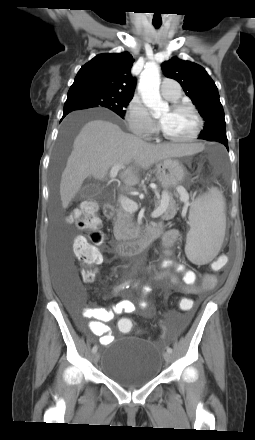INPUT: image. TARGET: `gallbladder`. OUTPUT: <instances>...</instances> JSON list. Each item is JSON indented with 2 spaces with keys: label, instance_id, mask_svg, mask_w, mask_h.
Here are the masks:
<instances>
[{
  "label": "gallbladder",
  "instance_id": "obj_1",
  "mask_svg": "<svg viewBox=\"0 0 255 440\" xmlns=\"http://www.w3.org/2000/svg\"><path fill=\"white\" fill-rule=\"evenodd\" d=\"M99 192V187L96 184L88 183L79 192L80 198H92Z\"/></svg>",
  "mask_w": 255,
  "mask_h": 440
}]
</instances>
